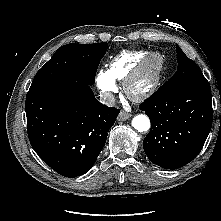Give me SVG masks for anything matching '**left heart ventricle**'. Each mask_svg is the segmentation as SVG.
Here are the masks:
<instances>
[{
  "instance_id": "obj_1",
  "label": "left heart ventricle",
  "mask_w": 221,
  "mask_h": 221,
  "mask_svg": "<svg viewBox=\"0 0 221 221\" xmlns=\"http://www.w3.org/2000/svg\"><path fill=\"white\" fill-rule=\"evenodd\" d=\"M154 68L150 67L148 70H146L136 81L134 84V89L139 91L143 88H145L150 81L152 80Z\"/></svg>"
}]
</instances>
